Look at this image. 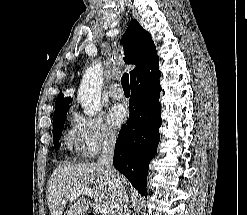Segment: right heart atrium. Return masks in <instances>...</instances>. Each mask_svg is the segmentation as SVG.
<instances>
[{"mask_svg":"<svg viewBox=\"0 0 247 215\" xmlns=\"http://www.w3.org/2000/svg\"><path fill=\"white\" fill-rule=\"evenodd\" d=\"M72 134L80 144V152L84 157H94L102 150L112 148L117 139L115 132L100 116L75 115Z\"/></svg>","mask_w":247,"mask_h":215,"instance_id":"d8ad5b80","label":"right heart atrium"}]
</instances>
